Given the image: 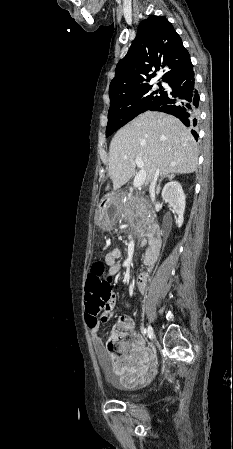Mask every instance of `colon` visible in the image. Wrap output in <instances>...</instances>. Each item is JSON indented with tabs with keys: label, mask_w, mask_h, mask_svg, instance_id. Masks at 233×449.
I'll use <instances>...</instances> for the list:
<instances>
[{
	"label": "colon",
	"mask_w": 233,
	"mask_h": 449,
	"mask_svg": "<svg viewBox=\"0 0 233 449\" xmlns=\"http://www.w3.org/2000/svg\"><path fill=\"white\" fill-rule=\"evenodd\" d=\"M105 266L101 262L94 263L86 277V302L88 310L85 311L86 322L90 326H95L99 322L100 314L108 312L104 310L103 305L106 302L111 303V298L106 296L111 291L110 284L104 278ZM134 335L131 330V322L128 319H122L116 326L109 344V351L113 353L126 349L134 344Z\"/></svg>",
	"instance_id": "5ec220e1"
}]
</instances>
